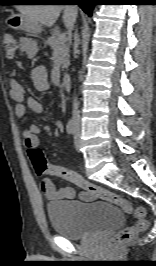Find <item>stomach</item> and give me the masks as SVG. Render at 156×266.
<instances>
[{
    "label": "stomach",
    "instance_id": "stomach-1",
    "mask_svg": "<svg viewBox=\"0 0 156 266\" xmlns=\"http://www.w3.org/2000/svg\"><path fill=\"white\" fill-rule=\"evenodd\" d=\"M9 26L14 29L24 30L30 33H39L41 26L33 22L30 18L23 14L12 15L9 20Z\"/></svg>",
    "mask_w": 156,
    "mask_h": 266
}]
</instances>
